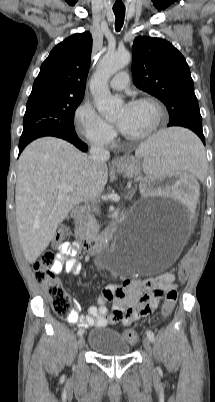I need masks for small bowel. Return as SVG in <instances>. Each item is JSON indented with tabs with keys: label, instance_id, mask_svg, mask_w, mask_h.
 <instances>
[{
	"label": "small bowel",
	"instance_id": "1",
	"mask_svg": "<svg viewBox=\"0 0 215 402\" xmlns=\"http://www.w3.org/2000/svg\"><path fill=\"white\" fill-rule=\"evenodd\" d=\"M79 248L78 242L61 243L52 270L56 274L64 270L69 275H78L81 271V262L77 256ZM173 279V275L165 273L146 279H124L119 285L110 284L99 295L98 306H91L86 316L80 313L81 304L74 299L73 308L66 315V320L82 330L116 323L129 325L153 311L161 294L168 289H174ZM110 301L113 302V307L112 313L108 315L107 303ZM146 306H152V311H145Z\"/></svg>",
	"mask_w": 215,
	"mask_h": 402
}]
</instances>
